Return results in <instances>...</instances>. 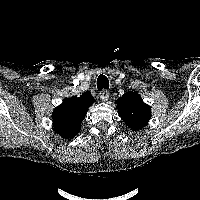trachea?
Here are the masks:
<instances>
[{
  "mask_svg": "<svg viewBox=\"0 0 200 200\" xmlns=\"http://www.w3.org/2000/svg\"><path fill=\"white\" fill-rule=\"evenodd\" d=\"M97 88L99 91L109 88V80L105 75L101 74L97 78Z\"/></svg>",
  "mask_w": 200,
  "mask_h": 200,
  "instance_id": "1",
  "label": "trachea"
}]
</instances>
